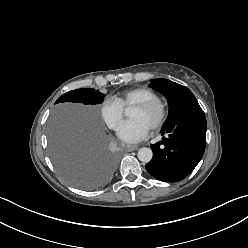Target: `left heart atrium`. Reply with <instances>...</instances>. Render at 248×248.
Returning a JSON list of instances; mask_svg holds the SVG:
<instances>
[{"label": "left heart atrium", "mask_w": 248, "mask_h": 248, "mask_svg": "<svg viewBox=\"0 0 248 248\" xmlns=\"http://www.w3.org/2000/svg\"><path fill=\"white\" fill-rule=\"evenodd\" d=\"M148 126L140 119H131L118 127V137L126 143H136L148 133Z\"/></svg>", "instance_id": "left-heart-atrium-1"}]
</instances>
